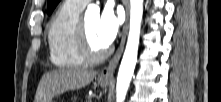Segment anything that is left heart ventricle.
I'll list each match as a JSON object with an SVG mask.
<instances>
[{
	"label": "left heart ventricle",
	"mask_w": 221,
	"mask_h": 102,
	"mask_svg": "<svg viewBox=\"0 0 221 102\" xmlns=\"http://www.w3.org/2000/svg\"><path fill=\"white\" fill-rule=\"evenodd\" d=\"M98 19H99L98 16H91V17H88L84 20L85 27H86L87 34H88V38H89L91 47L94 50H100V49H103L104 47H106L99 42L97 35H96Z\"/></svg>",
	"instance_id": "obj_1"
}]
</instances>
